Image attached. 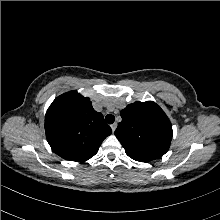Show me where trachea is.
<instances>
[{
    "label": "trachea",
    "mask_w": 220,
    "mask_h": 220,
    "mask_svg": "<svg viewBox=\"0 0 220 220\" xmlns=\"http://www.w3.org/2000/svg\"><path fill=\"white\" fill-rule=\"evenodd\" d=\"M105 121H106L108 124H112V123L115 121V117H114L112 114H108V115H106V117H105Z\"/></svg>",
    "instance_id": "obj_1"
}]
</instances>
